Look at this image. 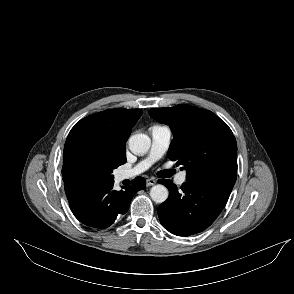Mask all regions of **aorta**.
<instances>
[{
  "mask_svg": "<svg viewBox=\"0 0 294 294\" xmlns=\"http://www.w3.org/2000/svg\"><path fill=\"white\" fill-rule=\"evenodd\" d=\"M151 145V139L146 134H134L129 138V148L134 154L146 153ZM169 195L168 189L161 184L155 185L150 190V196L156 203H163Z\"/></svg>",
  "mask_w": 294,
  "mask_h": 294,
  "instance_id": "1",
  "label": "aorta"
}]
</instances>
